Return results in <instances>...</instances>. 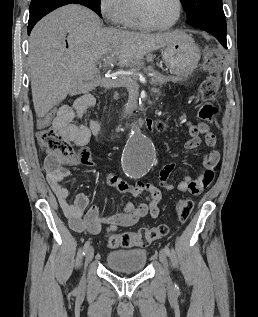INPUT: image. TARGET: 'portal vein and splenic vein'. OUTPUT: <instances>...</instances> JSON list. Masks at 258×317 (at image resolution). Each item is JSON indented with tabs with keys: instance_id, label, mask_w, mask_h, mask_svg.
<instances>
[{
	"instance_id": "portal-vein-and-splenic-vein-1",
	"label": "portal vein and splenic vein",
	"mask_w": 258,
	"mask_h": 317,
	"mask_svg": "<svg viewBox=\"0 0 258 317\" xmlns=\"http://www.w3.org/2000/svg\"><path fill=\"white\" fill-rule=\"evenodd\" d=\"M111 56H115V54H111ZM111 56H106V58H111ZM113 60H110L109 64H112Z\"/></svg>"
}]
</instances>
